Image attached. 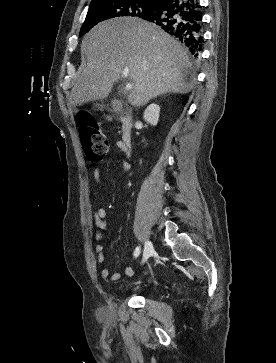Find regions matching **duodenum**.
I'll use <instances>...</instances> for the list:
<instances>
[{
    "instance_id": "obj_1",
    "label": "duodenum",
    "mask_w": 276,
    "mask_h": 363,
    "mask_svg": "<svg viewBox=\"0 0 276 363\" xmlns=\"http://www.w3.org/2000/svg\"><path fill=\"white\" fill-rule=\"evenodd\" d=\"M133 114L125 111L121 114V140L123 147L129 152L132 146Z\"/></svg>"
}]
</instances>
